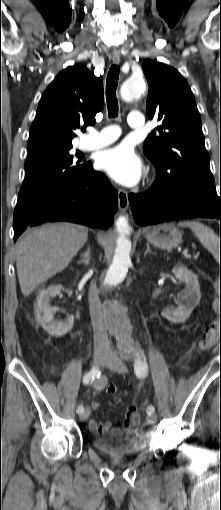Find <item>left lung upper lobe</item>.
<instances>
[{"label": "left lung upper lobe", "mask_w": 221, "mask_h": 510, "mask_svg": "<svg viewBox=\"0 0 221 510\" xmlns=\"http://www.w3.org/2000/svg\"><path fill=\"white\" fill-rule=\"evenodd\" d=\"M142 68L149 84L148 117L162 122L144 142V153L156 167V185L165 191L216 190L188 83L177 70L158 61L145 60Z\"/></svg>", "instance_id": "1"}]
</instances>
